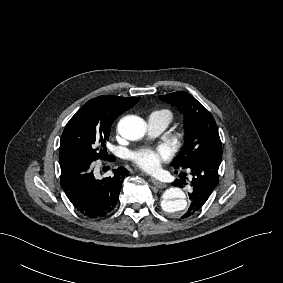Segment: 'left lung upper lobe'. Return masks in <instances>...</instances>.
<instances>
[{
	"mask_svg": "<svg viewBox=\"0 0 283 283\" xmlns=\"http://www.w3.org/2000/svg\"><path fill=\"white\" fill-rule=\"evenodd\" d=\"M160 99L185 110V144L173 160V167L187 168L196 160L207 155H222L218 128L210 112L187 92H174Z\"/></svg>",
	"mask_w": 283,
	"mask_h": 283,
	"instance_id": "1",
	"label": "left lung upper lobe"
}]
</instances>
